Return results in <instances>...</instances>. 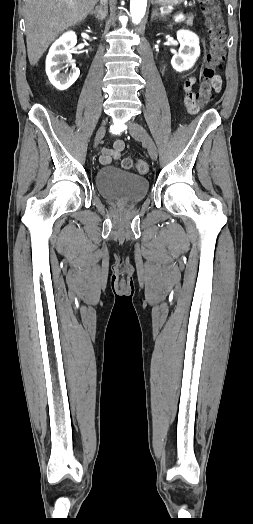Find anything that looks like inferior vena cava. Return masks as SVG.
<instances>
[{"label":"inferior vena cava","instance_id":"inferior-vena-cava-1","mask_svg":"<svg viewBox=\"0 0 253 524\" xmlns=\"http://www.w3.org/2000/svg\"><path fill=\"white\" fill-rule=\"evenodd\" d=\"M101 2H104V3H106V0H101Z\"/></svg>","mask_w":253,"mask_h":524}]
</instances>
